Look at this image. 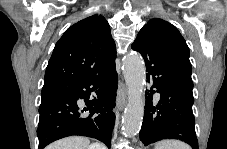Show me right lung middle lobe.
Here are the masks:
<instances>
[{
  "label": "right lung middle lobe",
  "mask_w": 227,
  "mask_h": 149,
  "mask_svg": "<svg viewBox=\"0 0 227 149\" xmlns=\"http://www.w3.org/2000/svg\"><path fill=\"white\" fill-rule=\"evenodd\" d=\"M62 88L42 89V99H41V102L42 101H45L46 99H48L50 96H52L54 93H56L57 91H59Z\"/></svg>",
  "instance_id": "dd1d6c3e"
}]
</instances>
